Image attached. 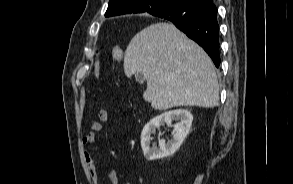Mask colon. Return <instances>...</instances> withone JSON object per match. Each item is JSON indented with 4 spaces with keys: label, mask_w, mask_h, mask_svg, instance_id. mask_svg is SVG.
I'll list each match as a JSON object with an SVG mask.
<instances>
[{
    "label": "colon",
    "mask_w": 293,
    "mask_h": 184,
    "mask_svg": "<svg viewBox=\"0 0 293 184\" xmlns=\"http://www.w3.org/2000/svg\"><path fill=\"white\" fill-rule=\"evenodd\" d=\"M112 55L117 61H122L123 55H124L122 48L119 46H114L112 48ZM100 66H101V64H100V59H99V50H96V60L94 63V71H93V75H94L95 80H97L99 78Z\"/></svg>",
    "instance_id": "5ec220e1"
}]
</instances>
